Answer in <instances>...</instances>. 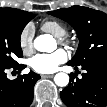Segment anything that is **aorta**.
<instances>
[{"label":"aorta","instance_id":"aorta-1","mask_svg":"<svg viewBox=\"0 0 107 107\" xmlns=\"http://www.w3.org/2000/svg\"><path fill=\"white\" fill-rule=\"evenodd\" d=\"M34 47L40 52H52L56 49L57 44L51 35L44 34L35 38ZM54 82L57 86L65 87L69 83V76L63 72L57 73Z\"/></svg>","mask_w":107,"mask_h":107}]
</instances>
